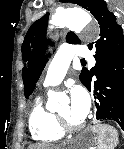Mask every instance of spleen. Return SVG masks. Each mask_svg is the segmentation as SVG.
Instances as JSON below:
<instances>
[{
    "mask_svg": "<svg viewBox=\"0 0 124 149\" xmlns=\"http://www.w3.org/2000/svg\"><path fill=\"white\" fill-rule=\"evenodd\" d=\"M94 128L97 132V149H114L118 143L116 129L109 125H97Z\"/></svg>",
    "mask_w": 124,
    "mask_h": 149,
    "instance_id": "obj_1",
    "label": "spleen"
}]
</instances>
